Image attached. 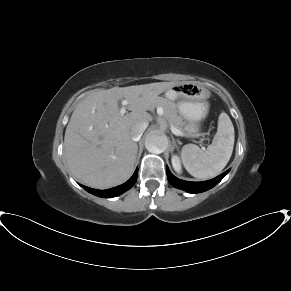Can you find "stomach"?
<instances>
[{"label":"stomach","instance_id":"stomach-1","mask_svg":"<svg viewBox=\"0 0 291 291\" xmlns=\"http://www.w3.org/2000/svg\"><path fill=\"white\" fill-rule=\"evenodd\" d=\"M166 97L177 100L180 116L186 121L184 130L189 135H195L200 130V122L209 112L208 99L210 91L197 83L184 82L166 90Z\"/></svg>","mask_w":291,"mask_h":291}]
</instances>
